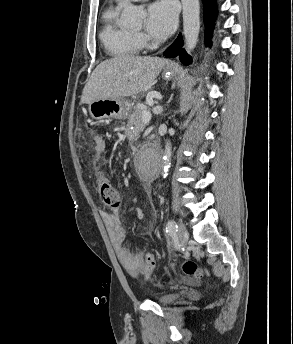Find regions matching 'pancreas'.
Masks as SVG:
<instances>
[{
    "label": "pancreas",
    "instance_id": "1",
    "mask_svg": "<svg viewBox=\"0 0 293 344\" xmlns=\"http://www.w3.org/2000/svg\"><path fill=\"white\" fill-rule=\"evenodd\" d=\"M142 111V109L134 106L131 110V114L128 117V125H135L136 127H139L137 129V134L142 131L145 126L142 121Z\"/></svg>",
    "mask_w": 293,
    "mask_h": 344
}]
</instances>
